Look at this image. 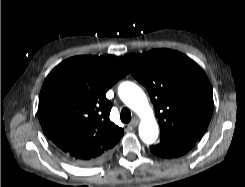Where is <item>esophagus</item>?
Here are the masks:
<instances>
[{
	"label": "esophagus",
	"instance_id": "34e87169",
	"mask_svg": "<svg viewBox=\"0 0 245 187\" xmlns=\"http://www.w3.org/2000/svg\"><path fill=\"white\" fill-rule=\"evenodd\" d=\"M139 124V120L137 118H133L130 122L131 127H136Z\"/></svg>",
	"mask_w": 245,
	"mask_h": 187
}]
</instances>
